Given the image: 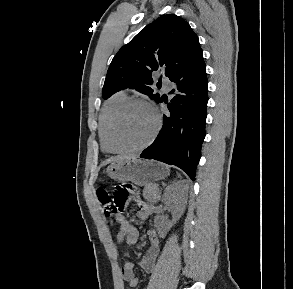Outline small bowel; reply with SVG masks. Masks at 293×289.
Segmentation results:
<instances>
[{
	"mask_svg": "<svg viewBox=\"0 0 293 289\" xmlns=\"http://www.w3.org/2000/svg\"><path fill=\"white\" fill-rule=\"evenodd\" d=\"M139 211L138 215L141 219L146 220L153 212L150 205L138 201ZM116 220L120 224L118 233L116 234V241L118 243L135 244L138 241V230L124 217L122 213L115 215ZM149 246L140 261V267L147 273L154 270L157 258L159 256V239L155 230H148L147 232ZM121 277L123 281L127 282L130 287L135 288L138 285V279L134 273V265L132 262H125L121 268Z\"/></svg>",
	"mask_w": 293,
	"mask_h": 289,
	"instance_id": "small-bowel-1",
	"label": "small bowel"
}]
</instances>
